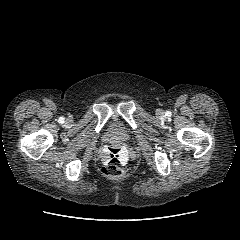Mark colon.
Instances as JSON below:
<instances>
[{
	"label": "colon",
	"mask_w": 240,
	"mask_h": 240,
	"mask_svg": "<svg viewBox=\"0 0 240 240\" xmlns=\"http://www.w3.org/2000/svg\"><path fill=\"white\" fill-rule=\"evenodd\" d=\"M102 172L109 178H118L124 173V161L117 150H112L103 164Z\"/></svg>",
	"instance_id": "obj_1"
}]
</instances>
